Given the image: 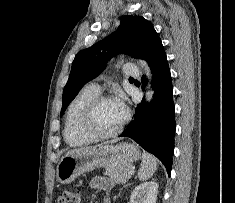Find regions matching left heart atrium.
Wrapping results in <instances>:
<instances>
[{
    "mask_svg": "<svg viewBox=\"0 0 235 203\" xmlns=\"http://www.w3.org/2000/svg\"><path fill=\"white\" fill-rule=\"evenodd\" d=\"M115 101L124 108L123 99L121 96H118Z\"/></svg>",
    "mask_w": 235,
    "mask_h": 203,
    "instance_id": "1",
    "label": "left heart atrium"
}]
</instances>
